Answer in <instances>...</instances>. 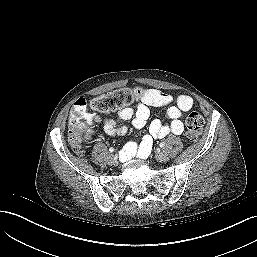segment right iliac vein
Instances as JSON below:
<instances>
[{
  "instance_id": "1",
  "label": "right iliac vein",
  "mask_w": 257,
  "mask_h": 257,
  "mask_svg": "<svg viewBox=\"0 0 257 257\" xmlns=\"http://www.w3.org/2000/svg\"><path fill=\"white\" fill-rule=\"evenodd\" d=\"M107 162H108L109 164H114V163H116V162H117V156H116V155H113V154L109 155L108 158H107Z\"/></svg>"
}]
</instances>
